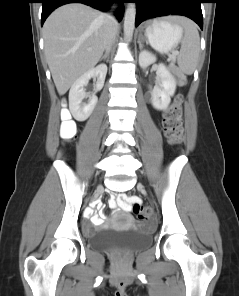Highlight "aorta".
Segmentation results:
<instances>
[{
  "mask_svg": "<svg viewBox=\"0 0 239 296\" xmlns=\"http://www.w3.org/2000/svg\"><path fill=\"white\" fill-rule=\"evenodd\" d=\"M136 18V5L135 3H128L124 17V37L130 41L133 36Z\"/></svg>",
  "mask_w": 239,
  "mask_h": 296,
  "instance_id": "762f6f07",
  "label": "aorta"
}]
</instances>
